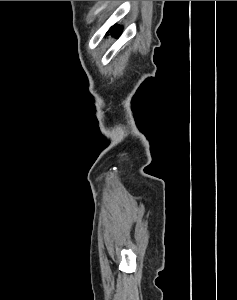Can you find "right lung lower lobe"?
I'll use <instances>...</instances> for the list:
<instances>
[{"label":"right lung lower lobe","mask_w":237,"mask_h":300,"mask_svg":"<svg viewBox=\"0 0 237 300\" xmlns=\"http://www.w3.org/2000/svg\"><path fill=\"white\" fill-rule=\"evenodd\" d=\"M109 32H111V34L113 35V34H120V32H121V28L119 27V26H113L111 29H110V31Z\"/></svg>","instance_id":"right-lung-lower-lobe-1"}]
</instances>
